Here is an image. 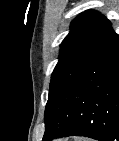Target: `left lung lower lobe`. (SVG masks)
Instances as JSON below:
<instances>
[{
	"mask_svg": "<svg viewBox=\"0 0 119 141\" xmlns=\"http://www.w3.org/2000/svg\"><path fill=\"white\" fill-rule=\"evenodd\" d=\"M43 141L86 136L119 141V36L110 29L88 66L48 100Z\"/></svg>",
	"mask_w": 119,
	"mask_h": 141,
	"instance_id": "0a47b994",
	"label": "left lung lower lobe"
}]
</instances>
